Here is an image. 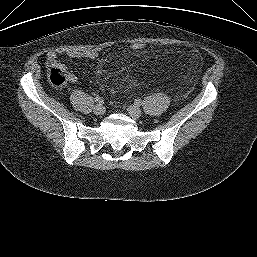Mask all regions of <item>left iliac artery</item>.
<instances>
[{
  "instance_id": "obj_1",
  "label": "left iliac artery",
  "mask_w": 257,
  "mask_h": 257,
  "mask_svg": "<svg viewBox=\"0 0 257 257\" xmlns=\"http://www.w3.org/2000/svg\"><path fill=\"white\" fill-rule=\"evenodd\" d=\"M134 103H135V105L140 106L142 104V100L136 99Z\"/></svg>"
}]
</instances>
